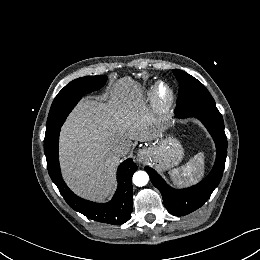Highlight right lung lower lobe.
I'll return each instance as SVG.
<instances>
[{
	"mask_svg": "<svg viewBox=\"0 0 260 260\" xmlns=\"http://www.w3.org/2000/svg\"><path fill=\"white\" fill-rule=\"evenodd\" d=\"M60 128L44 140V152L52 181L74 210L87 218L109 224H122L129 220L132 212V175L137 170L131 158L120 164L117 171L118 188L113 199L105 204H98L76 196L62 179L58 160V140Z\"/></svg>",
	"mask_w": 260,
	"mask_h": 260,
	"instance_id": "1",
	"label": "right lung lower lobe"
}]
</instances>
